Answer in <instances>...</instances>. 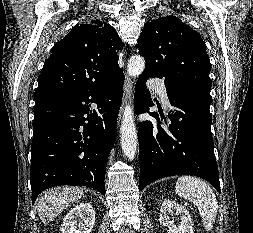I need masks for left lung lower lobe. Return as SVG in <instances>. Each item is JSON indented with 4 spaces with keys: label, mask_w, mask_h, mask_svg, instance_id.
Instances as JSON below:
<instances>
[{
    "label": "left lung lower lobe",
    "mask_w": 253,
    "mask_h": 233,
    "mask_svg": "<svg viewBox=\"0 0 253 233\" xmlns=\"http://www.w3.org/2000/svg\"><path fill=\"white\" fill-rule=\"evenodd\" d=\"M150 76L143 74L135 85V112L145 113L154 105L146 87ZM172 109L170 124L162 127L146 121L139 125V189L154 180L175 176L195 175L207 180L220 192L218 166L211 134L210 95L187 93L169 97ZM159 121L158 113H150ZM161 119L164 118L161 114ZM165 119V118H164ZM166 121V119H165Z\"/></svg>",
    "instance_id": "0a47b994"
}]
</instances>
